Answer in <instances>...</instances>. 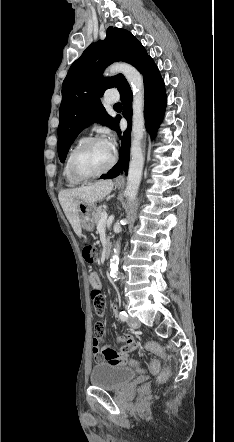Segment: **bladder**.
Listing matches in <instances>:
<instances>
[{"instance_id":"31cf9c89","label":"bladder","mask_w":234,"mask_h":442,"mask_svg":"<svg viewBox=\"0 0 234 442\" xmlns=\"http://www.w3.org/2000/svg\"><path fill=\"white\" fill-rule=\"evenodd\" d=\"M136 377V371L126 366L98 364L90 374L91 385L104 389H120Z\"/></svg>"}]
</instances>
